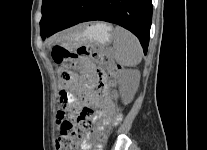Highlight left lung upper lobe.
Masks as SVG:
<instances>
[{
  "mask_svg": "<svg viewBox=\"0 0 207 150\" xmlns=\"http://www.w3.org/2000/svg\"><path fill=\"white\" fill-rule=\"evenodd\" d=\"M74 0H43L42 19L40 21L41 34L48 32L62 17Z\"/></svg>",
  "mask_w": 207,
  "mask_h": 150,
  "instance_id": "5c2ea615",
  "label": "left lung upper lobe"
}]
</instances>
